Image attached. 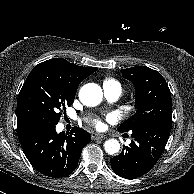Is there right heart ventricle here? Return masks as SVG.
I'll use <instances>...</instances> for the list:
<instances>
[{"mask_svg":"<svg viewBox=\"0 0 194 194\" xmlns=\"http://www.w3.org/2000/svg\"><path fill=\"white\" fill-rule=\"evenodd\" d=\"M103 86L116 88V89H119L120 91L122 89L121 84L113 78H105L103 80Z\"/></svg>","mask_w":194,"mask_h":194,"instance_id":"right-heart-ventricle-1","label":"right heart ventricle"}]
</instances>
